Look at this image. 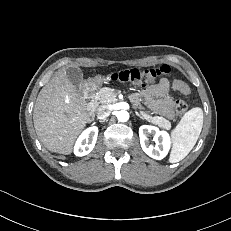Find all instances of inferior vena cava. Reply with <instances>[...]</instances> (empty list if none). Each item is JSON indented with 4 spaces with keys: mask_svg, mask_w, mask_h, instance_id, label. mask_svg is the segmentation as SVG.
<instances>
[{
    "mask_svg": "<svg viewBox=\"0 0 231 231\" xmlns=\"http://www.w3.org/2000/svg\"><path fill=\"white\" fill-rule=\"evenodd\" d=\"M111 113V108L108 105H101L97 108V117L99 119L107 118Z\"/></svg>",
    "mask_w": 231,
    "mask_h": 231,
    "instance_id": "obj_1",
    "label": "inferior vena cava"
}]
</instances>
